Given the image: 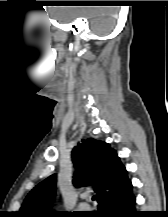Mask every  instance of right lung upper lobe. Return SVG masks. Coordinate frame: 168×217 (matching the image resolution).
<instances>
[{
  "instance_id": "right-lung-upper-lobe-1",
  "label": "right lung upper lobe",
  "mask_w": 168,
  "mask_h": 217,
  "mask_svg": "<svg viewBox=\"0 0 168 217\" xmlns=\"http://www.w3.org/2000/svg\"><path fill=\"white\" fill-rule=\"evenodd\" d=\"M76 168L75 187L92 186L98 206L124 193L132 184L117 153L110 145L92 138L82 140L72 150ZM56 193V174L39 183L25 198L19 217H53L62 212L50 210Z\"/></svg>"
}]
</instances>
